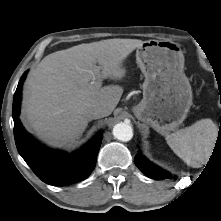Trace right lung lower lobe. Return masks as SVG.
Wrapping results in <instances>:
<instances>
[{"mask_svg":"<svg viewBox=\"0 0 221 221\" xmlns=\"http://www.w3.org/2000/svg\"><path fill=\"white\" fill-rule=\"evenodd\" d=\"M22 75L13 98L14 137L17 150L33 172L45 183L65 186L79 182L90 175L95 167L103 136L97 135L81 149L67 154L48 149L28 134L18 116L22 98Z\"/></svg>","mask_w":221,"mask_h":221,"instance_id":"98d812e1","label":"right lung lower lobe"}]
</instances>
